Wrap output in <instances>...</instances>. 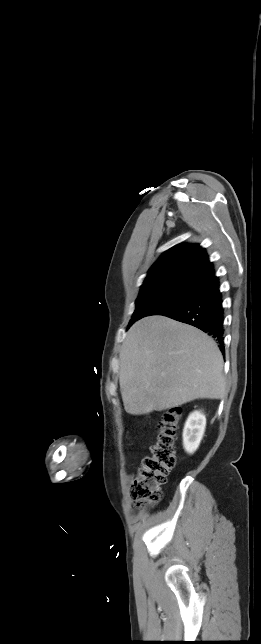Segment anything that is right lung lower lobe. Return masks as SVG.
I'll return each mask as SVG.
<instances>
[{
    "mask_svg": "<svg viewBox=\"0 0 261 644\" xmlns=\"http://www.w3.org/2000/svg\"><path fill=\"white\" fill-rule=\"evenodd\" d=\"M161 315L199 328L216 339L221 351L224 349L222 297L215 274L199 283L188 299Z\"/></svg>",
    "mask_w": 261,
    "mask_h": 644,
    "instance_id": "obj_1",
    "label": "right lung lower lobe"
}]
</instances>
